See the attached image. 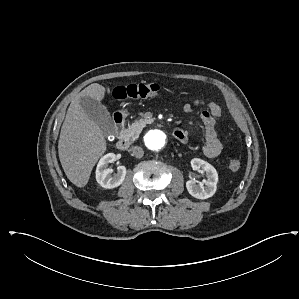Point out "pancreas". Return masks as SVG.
<instances>
[{"mask_svg": "<svg viewBox=\"0 0 299 299\" xmlns=\"http://www.w3.org/2000/svg\"><path fill=\"white\" fill-rule=\"evenodd\" d=\"M146 124L147 121L144 119L135 121L133 124L129 125L128 128L123 131L122 138L131 141L136 140Z\"/></svg>", "mask_w": 299, "mask_h": 299, "instance_id": "cf45deb5", "label": "pancreas"}]
</instances>
